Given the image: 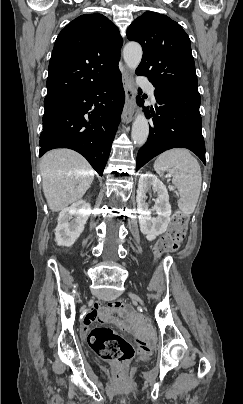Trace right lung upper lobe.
I'll return each instance as SVG.
<instances>
[{
	"instance_id": "1",
	"label": "right lung upper lobe",
	"mask_w": 243,
	"mask_h": 404,
	"mask_svg": "<svg viewBox=\"0 0 243 404\" xmlns=\"http://www.w3.org/2000/svg\"><path fill=\"white\" fill-rule=\"evenodd\" d=\"M123 40L102 14H85L59 33L49 62L44 102L86 91L118 74Z\"/></svg>"
}]
</instances>
